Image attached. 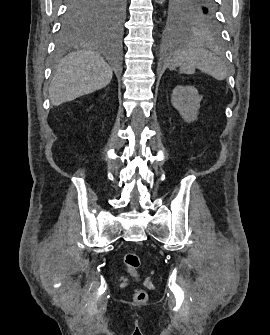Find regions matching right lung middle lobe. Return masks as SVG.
<instances>
[{"instance_id":"dd1d6c3e","label":"right lung middle lobe","mask_w":270,"mask_h":335,"mask_svg":"<svg viewBox=\"0 0 270 335\" xmlns=\"http://www.w3.org/2000/svg\"><path fill=\"white\" fill-rule=\"evenodd\" d=\"M126 0H68L58 42L64 45L76 35L104 26L113 30L121 28Z\"/></svg>"}]
</instances>
